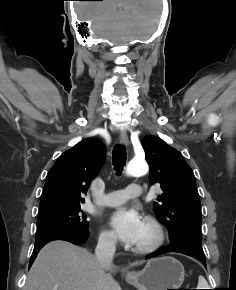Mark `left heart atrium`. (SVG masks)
Returning <instances> with one entry per match:
<instances>
[{
    "label": "left heart atrium",
    "instance_id": "left-heart-atrium-1",
    "mask_svg": "<svg viewBox=\"0 0 236 290\" xmlns=\"http://www.w3.org/2000/svg\"><path fill=\"white\" fill-rule=\"evenodd\" d=\"M109 224L116 236L128 244H136L144 229L140 215L128 208L117 209L111 215Z\"/></svg>",
    "mask_w": 236,
    "mask_h": 290
}]
</instances>
